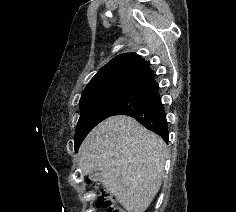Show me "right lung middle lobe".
Wrapping results in <instances>:
<instances>
[{
	"mask_svg": "<svg viewBox=\"0 0 236 212\" xmlns=\"http://www.w3.org/2000/svg\"><path fill=\"white\" fill-rule=\"evenodd\" d=\"M130 91H113L80 100V118L75 134L76 151L87 134L102 120L110 117Z\"/></svg>",
	"mask_w": 236,
	"mask_h": 212,
	"instance_id": "dd1d6c3e",
	"label": "right lung middle lobe"
}]
</instances>
